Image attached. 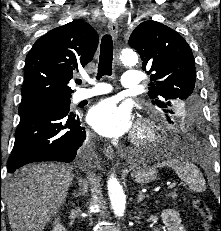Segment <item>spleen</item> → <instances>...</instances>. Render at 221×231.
<instances>
[{"label":"spleen","mask_w":221,"mask_h":231,"mask_svg":"<svg viewBox=\"0 0 221 231\" xmlns=\"http://www.w3.org/2000/svg\"><path fill=\"white\" fill-rule=\"evenodd\" d=\"M155 167L172 168L178 177L183 180L193 192H204L206 190V182L199 168L189 160L184 161L178 158H172L158 162Z\"/></svg>","instance_id":"1"}]
</instances>
